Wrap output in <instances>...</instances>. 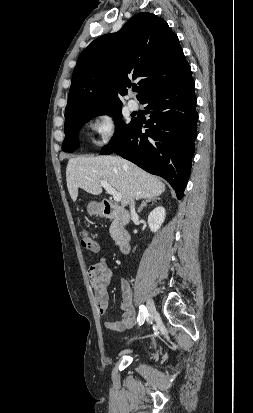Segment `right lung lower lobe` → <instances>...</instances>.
Wrapping results in <instances>:
<instances>
[{"label": "right lung lower lobe", "mask_w": 253, "mask_h": 413, "mask_svg": "<svg viewBox=\"0 0 253 413\" xmlns=\"http://www.w3.org/2000/svg\"><path fill=\"white\" fill-rule=\"evenodd\" d=\"M147 104L150 119L141 133L142 123L131 126L101 155L116 152L147 172L165 178L181 199L191 171L197 137L195 83L191 68L177 82L154 91L141 101Z\"/></svg>", "instance_id": "obj_1"}]
</instances>
